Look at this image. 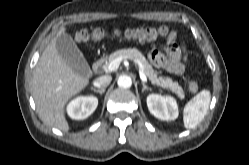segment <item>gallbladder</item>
Instances as JSON below:
<instances>
[{"label":"gallbladder","instance_id":"1","mask_svg":"<svg viewBox=\"0 0 249 165\" xmlns=\"http://www.w3.org/2000/svg\"><path fill=\"white\" fill-rule=\"evenodd\" d=\"M56 49L62 59L79 75L88 76L90 66L73 38L68 34H61L56 39Z\"/></svg>","mask_w":249,"mask_h":165}]
</instances>
